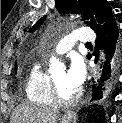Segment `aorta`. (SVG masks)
<instances>
[{"label":"aorta","mask_w":122,"mask_h":123,"mask_svg":"<svg viewBox=\"0 0 122 123\" xmlns=\"http://www.w3.org/2000/svg\"><path fill=\"white\" fill-rule=\"evenodd\" d=\"M61 66H62L61 63L55 57H52L50 59V71H53Z\"/></svg>","instance_id":"aorta-1"}]
</instances>
